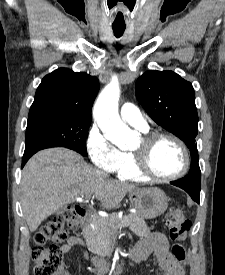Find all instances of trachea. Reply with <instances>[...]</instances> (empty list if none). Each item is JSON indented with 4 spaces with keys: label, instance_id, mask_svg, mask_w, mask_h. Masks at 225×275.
I'll list each match as a JSON object with an SVG mask.
<instances>
[{
    "label": "trachea",
    "instance_id": "1",
    "mask_svg": "<svg viewBox=\"0 0 225 275\" xmlns=\"http://www.w3.org/2000/svg\"><path fill=\"white\" fill-rule=\"evenodd\" d=\"M114 35L119 38L123 35L125 27H112Z\"/></svg>",
    "mask_w": 225,
    "mask_h": 275
}]
</instances>
